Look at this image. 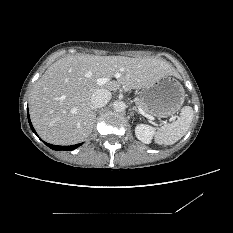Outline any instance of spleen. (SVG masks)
<instances>
[{
    "mask_svg": "<svg viewBox=\"0 0 233 233\" xmlns=\"http://www.w3.org/2000/svg\"><path fill=\"white\" fill-rule=\"evenodd\" d=\"M193 119V109L184 106L180 117L173 123L162 126L155 135V142L160 145H172L180 140L188 131Z\"/></svg>",
    "mask_w": 233,
    "mask_h": 233,
    "instance_id": "3e777b00",
    "label": "spleen"
}]
</instances>
